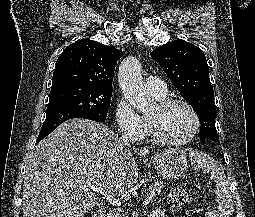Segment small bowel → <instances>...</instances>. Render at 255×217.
I'll use <instances>...</instances> for the list:
<instances>
[{
  "label": "small bowel",
  "instance_id": "c3829d8e",
  "mask_svg": "<svg viewBox=\"0 0 255 217\" xmlns=\"http://www.w3.org/2000/svg\"><path fill=\"white\" fill-rule=\"evenodd\" d=\"M151 217H167L162 210H155Z\"/></svg>",
  "mask_w": 255,
  "mask_h": 217
}]
</instances>
